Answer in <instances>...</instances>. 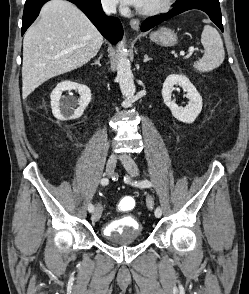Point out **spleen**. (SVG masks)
Segmentation results:
<instances>
[{
    "mask_svg": "<svg viewBox=\"0 0 249 294\" xmlns=\"http://www.w3.org/2000/svg\"><path fill=\"white\" fill-rule=\"evenodd\" d=\"M201 43L204 47V55L194 63V68L200 72H209L219 67L224 61L223 41L215 28L205 25L201 34Z\"/></svg>",
    "mask_w": 249,
    "mask_h": 294,
    "instance_id": "1",
    "label": "spleen"
}]
</instances>
